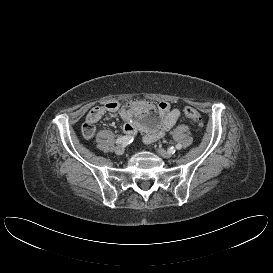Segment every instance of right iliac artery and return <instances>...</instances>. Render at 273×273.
I'll return each instance as SVG.
<instances>
[{
    "label": "right iliac artery",
    "mask_w": 273,
    "mask_h": 273,
    "mask_svg": "<svg viewBox=\"0 0 273 273\" xmlns=\"http://www.w3.org/2000/svg\"><path fill=\"white\" fill-rule=\"evenodd\" d=\"M133 140H134V138L132 136H122L116 140V143L126 146V145L130 144L131 142H133Z\"/></svg>",
    "instance_id": "obj_1"
}]
</instances>
